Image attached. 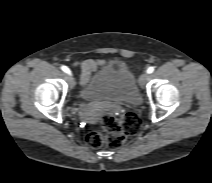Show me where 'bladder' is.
Segmentation results:
<instances>
[{
  "mask_svg": "<svg viewBox=\"0 0 212 183\" xmlns=\"http://www.w3.org/2000/svg\"><path fill=\"white\" fill-rule=\"evenodd\" d=\"M79 96L88 102L112 100L136 105L140 101L135 76L124 66L121 68L103 66L81 88Z\"/></svg>",
  "mask_w": 212,
  "mask_h": 183,
  "instance_id": "31cf9c89",
  "label": "bladder"
}]
</instances>
